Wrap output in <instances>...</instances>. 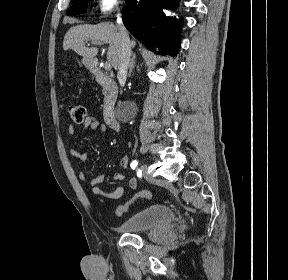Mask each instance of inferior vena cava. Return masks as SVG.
I'll return each instance as SVG.
<instances>
[{"instance_id": "602c4592", "label": "inferior vena cava", "mask_w": 288, "mask_h": 280, "mask_svg": "<svg viewBox=\"0 0 288 280\" xmlns=\"http://www.w3.org/2000/svg\"><path fill=\"white\" fill-rule=\"evenodd\" d=\"M117 27L121 38V54L119 56L118 77L126 78L131 56V46L127 30L123 25L120 14L117 15Z\"/></svg>"}]
</instances>
